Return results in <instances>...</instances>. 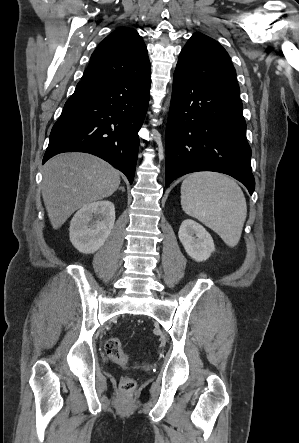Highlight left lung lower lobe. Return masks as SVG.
I'll return each instance as SVG.
<instances>
[{
    "label": "left lung lower lobe",
    "instance_id": "left-lung-lower-lobe-1",
    "mask_svg": "<svg viewBox=\"0 0 299 443\" xmlns=\"http://www.w3.org/2000/svg\"><path fill=\"white\" fill-rule=\"evenodd\" d=\"M166 187L191 172L215 171L255 188L239 96L175 70L166 128Z\"/></svg>",
    "mask_w": 299,
    "mask_h": 443
}]
</instances>
